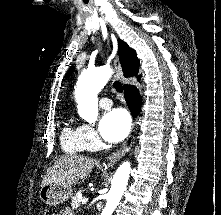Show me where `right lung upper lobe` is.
Instances as JSON below:
<instances>
[{
	"label": "right lung upper lobe",
	"mask_w": 221,
	"mask_h": 215,
	"mask_svg": "<svg viewBox=\"0 0 221 215\" xmlns=\"http://www.w3.org/2000/svg\"><path fill=\"white\" fill-rule=\"evenodd\" d=\"M119 60L125 77H132L138 73L139 60L136 52L131 49L125 42L118 40Z\"/></svg>",
	"instance_id": "obj_1"
}]
</instances>
